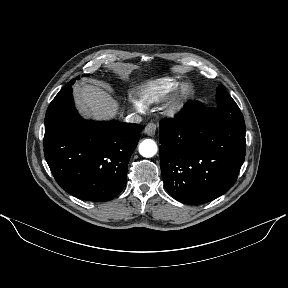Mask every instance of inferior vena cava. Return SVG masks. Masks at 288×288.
<instances>
[{
    "mask_svg": "<svg viewBox=\"0 0 288 288\" xmlns=\"http://www.w3.org/2000/svg\"><path fill=\"white\" fill-rule=\"evenodd\" d=\"M125 121L130 123H140L142 121V117L138 114L131 113L126 117Z\"/></svg>",
    "mask_w": 288,
    "mask_h": 288,
    "instance_id": "1",
    "label": "inferior vena cava"
}]
</instances>
